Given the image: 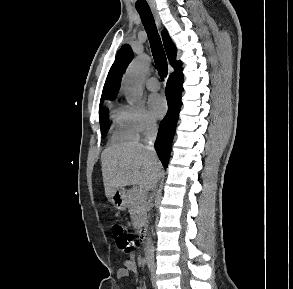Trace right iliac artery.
I'll use <instances>...</instances> for the list:
<instances>
[{"label":"right iliac artery","instance_id":"obj_1","mask_svg":"<svg viewBox=\"0 0 293 289\" xmlns=\"http://www.w3.org/2000/svg\"><path fill=\"white\" fill-rule=\"evenodd\" d=\"M145 264L147 265L148 269L151 270L152 260L151 258L145 259Z\"/></svg>","mask_w":293,"mask_h":289}]
</instances>
